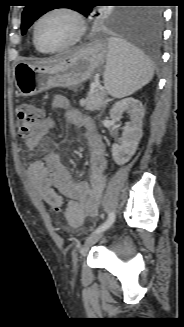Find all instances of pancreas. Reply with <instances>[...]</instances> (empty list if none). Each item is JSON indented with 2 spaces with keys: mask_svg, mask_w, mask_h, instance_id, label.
<instances>
[{
  "mask_svg": "<svg viewBox=\"0 0 184 327\" xmlns=\"http://www.w3.org/2000/svg\"><path fill=\"white\" fill-rule=\"evenodd\" d=\"M105 96L106 94L104 91L99 89H95L94 91L90 90L87 97L80 100V105L89 111L100 110L105 105Z\"/></svg>",
  "mask_w": 184,
  "mask_h": 327,
  "instance_id": "1",
  "label": "pancreas"
}]
</instances>
